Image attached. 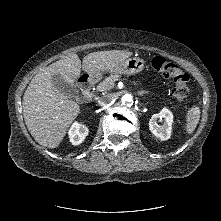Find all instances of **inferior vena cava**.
<instances>
[{
    "mask_svg": "<svg viewBox=\"0 0 221 221\" xmlns=\"http://www.w3.org/2000/svg\"><path fill=\"white\" fill-rule=\"evenodd\" d=\"M113 100L111 95H105L99 98L98 104L100 106L108 105Z\"/></svg>",
    "mask_w": 221,
    "mask_h": 221,
    "instance_id": "inferior-vena-cava-1",
    "label": "inferior vena cava"
}]
</instances>
